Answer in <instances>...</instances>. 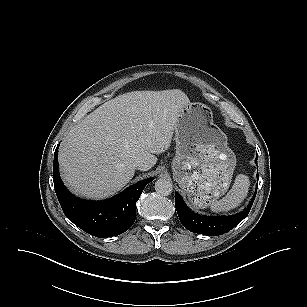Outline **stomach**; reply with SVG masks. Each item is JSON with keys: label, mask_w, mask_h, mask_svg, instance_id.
Listing matches in <instances>:
<instances>
[{"label": "stomach", "mask_w": 307, "mask_h": 307, "mask_svg": "<svg viewBox=\"0 0 307 307\" xmlns=\"http://www.w3.org/2000/svg\"><path fill=\"white\" fill-rule=\"evenodd\" d=\"M174 131V179L195 206L205 207L227 192L236 156L228 147L225 133L213 123L212 112L205 104L184 105Z\"/></svg>", "instance_id": "stomach-1"}]
</instances>
